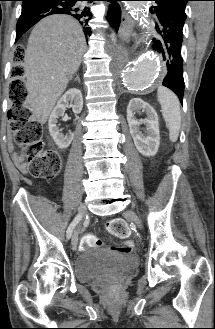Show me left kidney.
<instances>
[{"instance_id":"1","label":"left kidney","mask_w":215,"mask_h":329,"mask_svg":"<svg viewBox=\"0 0 215 329\" xmlns=\"http://www.w3.org/2000/svg\"><path fill=\"white\" fill-rule=\"evenodd\" d=\"M140 110L146 112L147 118L136 119L135 114ZM127 121L137 150L144 156H154L160 145L158 115L154 108L140 98H133L127 107ZM141 123L147 126L146 134L139 129Z\"/></svg>"}]
</instances>
